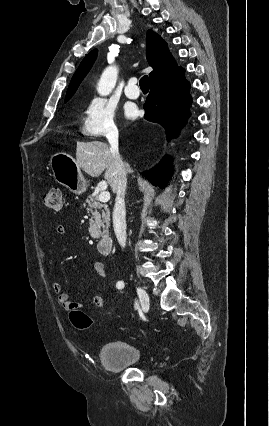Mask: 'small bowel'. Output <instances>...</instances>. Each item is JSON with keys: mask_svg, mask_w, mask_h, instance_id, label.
Masks as SVG:
<instances>
[{"mask_svg": "<svg viewBox=\"0 0 269 426\" xmlns=\"http://www.w3.org/2000/svg\"><path fill=\"white\" fill-rule=\"evenodd\" d=\"M56 234L58 236H65L67 234V227L65 225H58L56 227ZM40 255L42 258V261L45 265H47V252L44 248H41ZM92 272L100 277L103 280H107L108 275L105 269V266L101 262H94L91 266ZM119 283V282H118ZM121 283V282H120ZM123 283V282H122ZM124 284V283H123ZM52 289L55 293L58 302L65 310H71L73 308H80L83 306V304L71 301L69 299V296L66 292L62 290V286L59 282H53L52 283ZM91 306H97V307H105L107 306L108 302L105 298L100 296H95L91 299L90 303Z\"/></svg>", "mask_w": 269, "mask_h": 426, "instance_id": "1", "label": "small bowel"}]
</instances>
